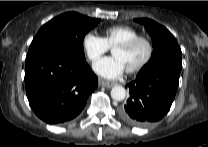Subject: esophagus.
<instances>
[{"label":"esophagus","instance_id":"obj_1","mask_svg":"<svg viewBox=\"0 0 208 147\" xmlns=\"http://www.w3.org/2000/svg\"><path fill=\"white\" fill-rule=\"evenodd\" d=\"M99 83H100L101 86H104L106 88H111L115 85L114 82H109V81H106V80H100Z\"/></svg>","mask_w":208,"mask_h":147}]
</instances>
